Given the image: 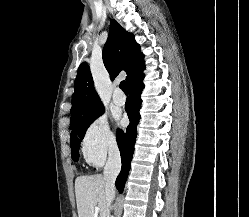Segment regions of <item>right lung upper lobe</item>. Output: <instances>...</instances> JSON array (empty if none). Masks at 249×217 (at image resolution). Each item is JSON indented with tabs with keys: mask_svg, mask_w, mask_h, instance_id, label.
I'll list each match as a JSON object with an SVG mask.
<instances>
[{
	"mask_svg": "<svg viewBox=\"0 0 249 217\" xmlns=\"http://www.w3.org/2000/svg\"><path fill=\"white\" fill-rule=\"evenodd\" d=\"M143 59L144 55L140 52V45L134 40L133 34L123 29L116 20H112L103 48V62L111 80L124 70L127 73L126 80L130 82L144 66ZM92 81L88 64L81 63L74 83L70 122L102 106Z\"/></svg>",
	"mask_w": 249,
	"mask_h": 217,
	"instance_id": "obj_1",
	"label": "right lung upper lobe"
}]
</instances>
